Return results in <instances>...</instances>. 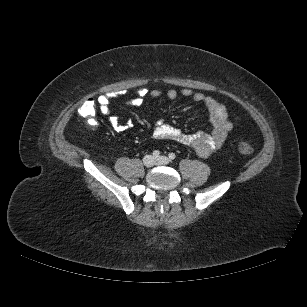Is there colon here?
I'll use <instances>...</instances> for the list:
<instances>
[{
  "mask_svg": "<svg viewBox=\"0 0 307 307\" xmlns=\"http://www.w3.org/2000/svg\"><path fill=\"white\" fill-rule=\"evenodd\" d=\"M97 108H98L97 102L94 99L90 98L82 104V106L79 109V113L81 117L84 118L86 121L90 122L91 124H94L93 121L97 112ZM237 144H238V149L242 154L251 155L254 153L253 146L249 144L247 141L239 139Z\"/></svg>",
  "mask_w": 307,
  "mask_h": 307,
  "instance_id": "colon-1",
  "label": "colon"
}]
</instances>
